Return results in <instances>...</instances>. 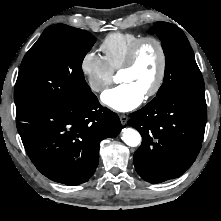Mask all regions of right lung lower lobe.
I'll use <instances>...</instances> for the list:
<instances>
[{
    "label": "right lung lower lobe",
    "mask_w": 221,
    "mask_h": 221,
    "mask_svg": "<svg viewBox=\"0 0 221 221\" xmlns=\"http://www.w3.org/2000/svg\"><path fill=\"white\" fill-rule=\"evenodd\" d=\"M17 129L28 156L43 175L79 185L95 173L100 141L116 137L121 123L91 92L69 106L17 120Z\"/></svg>",
    "instance_id": "98d812e1"
}]
</instances>
